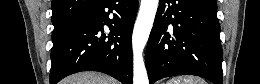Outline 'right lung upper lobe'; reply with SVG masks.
<instances>
[{"mask_svg":"<svg viewBox=\"0 0 260 84\" xmlns=\"http://www.w3.org/2000/svg\"><path fill=\"white\" fill-rule=\"evenodd\" d=\"M100 0H52V23L54 28L64 27L78 18Z\"/></svg>","mask_w":260,"mask_h":84,"instance_id":"cb5924a9","label":"right lung upper lobe"}]
</instances>
